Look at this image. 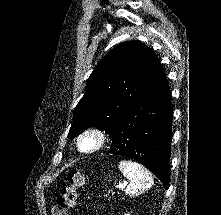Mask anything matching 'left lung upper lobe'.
I'll list each match as a JSON object with an SVG mask.
<instances>
[{
	"instance_id": "5c2ea615",
	"label": "left lung upper lobe",
	"mask_w": 221,
	"mask_h": 215,
	"mask_svg": "<svg viewBox=\"0 0 221 215\" xmlns=\"http://www.w3.org/2000/svg\"><path fill=\"white\" fill-rule=\"evenodd\" d=\"M161 69L152 49L137 41L112 49L91 73L84 96L74 110L68 137L94 126L112 136L121 118Z\"/></svg>"
}]
</instances>
